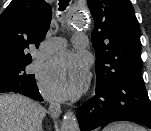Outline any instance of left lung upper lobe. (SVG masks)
I'll return each mask as SVG.
<instances>
[{
	"label": "left lung upper lobe",
	"mask_w": 151,
	"mask_h": 131,
	"mask_svg": "<svg viewBox=\"0 0 151 131\" xmlns=\"http://www.w3.org/2000/svg\"><path fill=\"white\" fill-rule=\"evenodd\" d=\"M95 26L91 34L96 51V87L107 86L141 69L140 28L129 0H87Z\"/></svg>",
	"instance_id": "obj_1"
}]
</instances>
